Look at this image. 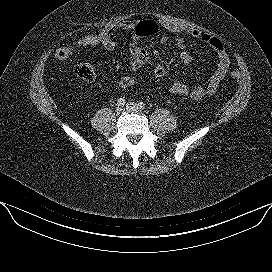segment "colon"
Masks as SVG:
<instances>
[{
	"mask_svg": "<svg viewBox=\"0 0 272 272\" xmlns=\"http://www.w3.org/2000/svg\"><path fill=\"white\" fill-rule=\"evenodd\" d=\"M157 31V24L153 21H144L137 25L136 34L139 36H149ZM94 47H104L112 50L116 48V43L113 37L98 31L86 33L76 38L71 44L58 47L55 50L54 56L58 60H66L71 56ZM75 75L84 81H91L95 77V68L90 63H80L75 67ZM167 70L166 67L158 63L151 70L146 71L141 77L125 76L118 80L117 86L120 89H127L137 85L144 80H159L164 78ZM230 76L233 79H239L238 71H231Z\"/></svg>",
	"mask_w": 272,
	"mask_h": 272,
	"instance_id": "5ec220e1",
	"label": "colon"
}]
</instances>
